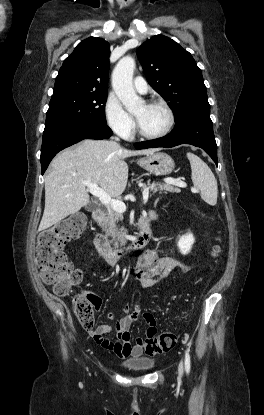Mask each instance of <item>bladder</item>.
Listing matches in <instances>:
<instances>
[{"mask_svg":"<svg viewBox=\"0 0 264 415\" xmlns=\"http://www.w3.org/2000/svg\"><path fill=\"white\" fill-rule=\"evenodd\" d=\"M122 365L132 372H142L151 369L154 366V361L148 358L126 359Z\"/></svg>","mask_w":264,"mask_h":415,"instance_id":"31cf9c89","label":"bladder"}]
</instances>
